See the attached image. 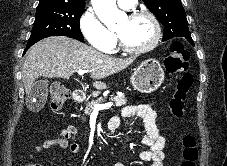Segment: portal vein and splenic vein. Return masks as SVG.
Masks as SVG:
<instances>
[{
	"label": "portal vein and splenic vein",
	"instance_id": "1",
	"mask_svg": "<svg viewBox=\"0 0 227 166\" xmlns=\"http://www.w3.org/2000/svg\"><path fill=\"white\" fill-rule=\"evenodd\" d=\"M77 72H78V74H79L80 76H82L84 73H87V72H89V71H88V70H78ZM112 105H113V103L95 104V105H94V110H95V111H99V110H103V109H109V108L112 107Z\"/></svg>",
	"mask_w": 227,
	"mask_h": 166
}]
</instances>
